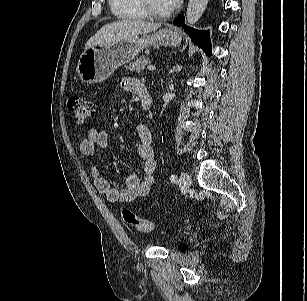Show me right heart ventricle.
<instances>
[{
  "mask_svg": "<svg viewBox=\"0 0 307 301\" xmlns=\"http://www.w3.org/2000/svg\"><path fill=\"white\" fill-rule=\"evenodd\" d=\"M112 13L119 19L139 20L146 18L138 0H109Z\"/></svg>",
  "mask_w": 307,
  "mask_h": 301,
  "instance_id": "right-heart-ventricle-1",
  "label": "right heart ventricle"
}]
</instances>
